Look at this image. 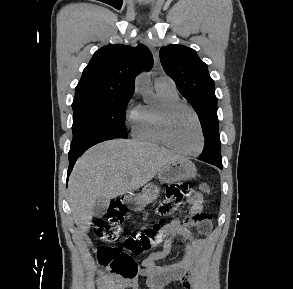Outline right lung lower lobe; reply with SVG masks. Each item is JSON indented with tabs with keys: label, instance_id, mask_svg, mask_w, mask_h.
I'll use <instances>...</instances> for the list:
<instances>
[{
	"label": "right lung lower lobe",
	"instance_id": "obj_1",
	"mask_svg": "<svg viewBox=\"0 0 293 289\" xmlns=\"http://www.w3.org/2000/svg\"><path fill=\"white\" fill-rule=\"evenodd\" d=\"M91 146H85L79 149H70L69 151V169H68V173H67V178L69 177V174L71 173L73 166L76 162V160L78 159L79 156L82 155L83 152H85L88 148H90Z\"/></svg>",
	"mask_w": 293,
	"mask_h": 289
}]
</instances>
